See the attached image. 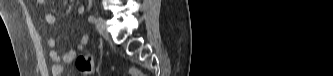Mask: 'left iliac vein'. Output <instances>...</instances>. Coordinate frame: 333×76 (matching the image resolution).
<instances>
[{"mask_svg": "<svg viewBox=\"0 0 333 76\" xmlns=\"http://www.w3.org/2000/svg\"><path fill=\"white\" fill-rule=\"evenodd\" d=\"M96 28L98 32L105 38L108 37L107 25L102 17H98L96 20Z\"/></svg>", "mask_w": 333, "mask_h": 76, "instance_id": "obj_1", "label": "left iliac vein"}]
</instances>
